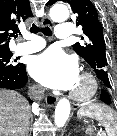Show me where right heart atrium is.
Instances as JSON below:
<instances>
[{"mask_svg":"<svg viewBox=\"0 0 117 136\" xmlns=\"http://www.w3.org/2000/svg\"><path fill=\"white\" fill-rule=\"evenodd\" d=\"M33 90H34L36 93L38 92V90H37V88H36V87H34V88H33Z\"/></svg>","mask_w":117,"mask_h":136,"instance_id":"obj_1","label":"right heart atrium"}]
</instances>
